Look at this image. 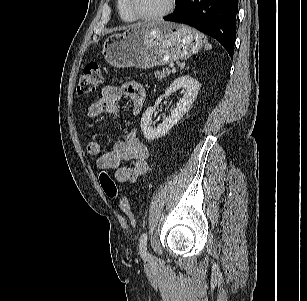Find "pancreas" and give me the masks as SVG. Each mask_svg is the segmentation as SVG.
I'll list each match as a JSON object with an SVG mask.
<instances>
[{
    "label": "pancreas",
    "instance_id": "cf45deb5",
    "mask_svg": "<svg viewBox=\"0 0 307 301\" xmlns=\"http://www.w3.org/2000/svg\"><path fill=\"white\" fill-rule=\"evenodd\" d=\"M171 70L164 68L161 72H155V77L159 80V79H163L166 76L170 75Z\"/></svg>",
    "mask_w": 307,
    "mask_h": 301
}]
</instances>
